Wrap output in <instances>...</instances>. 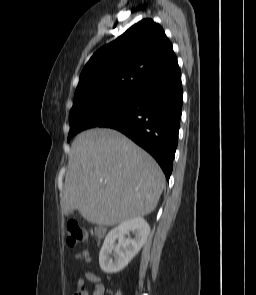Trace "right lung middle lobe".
<instances>
[{"label": "right lung middle lobe", "mask_w": 256, "mask_h": 295, "mask_svg": "<svg viewBox=\"0 0 256 295\" xmlns=\"http://www.w3.org/2000/svg\"><path fill=\"white\" fill-rule=\"evenodd\" d=\"M135 101V92L92 101L74 100L69 114L70 131L68 141L78 132L88 129L84 124L88 118L106 120L127 110Z\"/></svg>", "instance_id": "1"}]
</instances>
